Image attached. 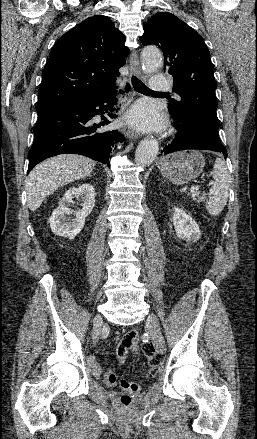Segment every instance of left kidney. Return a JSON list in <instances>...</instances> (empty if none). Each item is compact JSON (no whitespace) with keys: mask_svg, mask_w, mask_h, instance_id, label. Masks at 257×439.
<instances>
[{"mask_svg":"<svg viewBox=\"0 0 257 439\" xmlns=\"http://www.w3.org/2000/svg\"><path fill=\"white\" fill-rule=\"evenodd\" d=\"M173 224L178 238L196 241L201 236V231L195 220L181 208H175Z\"/></svg>","mask_w":257,"mask_h":439,"instance_id":"1","label":"left kidney"}]
</instances>
